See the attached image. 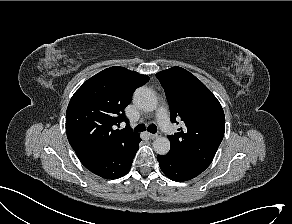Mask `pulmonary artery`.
Wrapping results in <instances>:
<instances>
[{"instance_id": "obj_1", "label": "pulmonary artery", "mask_w": 292, "mask_h": 224, "mask_svg": "<svg viewBox=\"0 0 292 224\" xmlns=\"http://www.w3.org/2000/svg\"><path fill=\"white\" fill-rule=\"evenodd\" d=\"M157 121L158 124L160 126V128L167 133L168 135H171L175 132V129L173 127V125L170 123L169 121V117H168V111L167 108L164 106H161L158 110H157Z\"/></svg>"}]
</instances>
